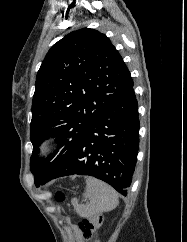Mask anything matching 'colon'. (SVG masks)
Returning <instances> with one entry per match:
<instances>
[{"mask_svg":"<svg viewBox=\"0 0 187 242\" xmlns=\"http://www.w3.org/2000/svg\"><path fill=\"white\" fill-rule=\"evenodd\" d=\"M57 201L64 200L65 195L62 192H57L55 195ZM103 217L101 215H93L91 217L83 219L79 223V229L84 239L90 240L93 238L96 230L101 226Z\"/></svg>","mask_w":187,"mask_h":242,"instance_id":"obj_1","label":"colon"}]
</instances>
